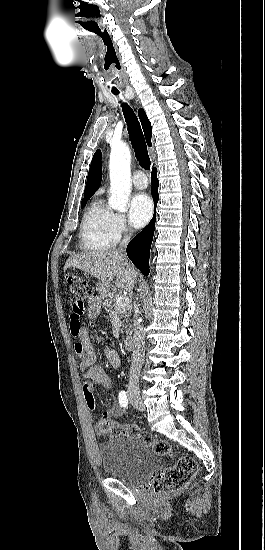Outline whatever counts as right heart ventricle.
<instances>
[{"instance_id": "right-heart-ventricle-1", "label": "right heart ventricle", "mask_w": 265, "mask_h": 550, "mask_svg": "<svg viewBox=\"0 0 265 550\" xmlns=\"http://www.w3.org/2000/svg\"><path fill=\"white\" fill-rule=\"evenodd\" d=\"M114 213L100 199L94 200L84 213L80 226V244L85 250L105 251L116 241L113 233Z\"/></svg>"}]
</instances>
